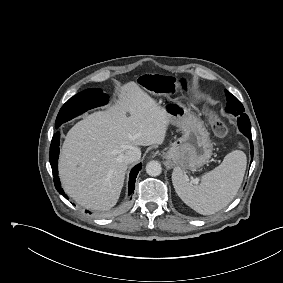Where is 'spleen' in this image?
<instances>
[{
	"label": "spleen",
	"mask_w": 283,
	"mask_h": 283,
	"mask_svg": "<svg viewBox=\"0 0 283 283\" xmlns=\"http://www.w3.org/2000/svg\"><path fill=\"white\" fill-rule=\"evenodd\" d=\"M246 164L245 153L233 150L219 166L202 176L199 185H194L182 169L176 167L172 173L173 186L186 205L202 215H211L235 197L243 181Z\"/></svg>",
	"instance_id": "obj_1"
}]
</instances>
